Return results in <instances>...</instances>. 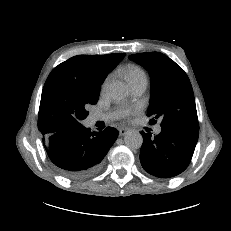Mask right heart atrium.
Masks as SVG:
<instances>
[{"label":"right heart atrium","instance_id":"1","mask_svg":"<svg viewBox=\"0 0 231 231\" xmlns=\"http://www.w3.org/2000/svg\"><path fill=\"white\" fill-rule=\"evenodd\" d=\"M110 79H111L110 76H107V77L104 79V81H103V83H102V85H101V93H105V92H106L107 87H108L109 82H110Z\"/></svg>","mask_w":231,"mask_h":231}]
</instances>
